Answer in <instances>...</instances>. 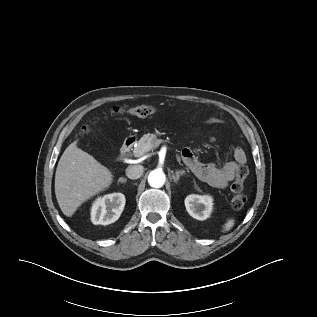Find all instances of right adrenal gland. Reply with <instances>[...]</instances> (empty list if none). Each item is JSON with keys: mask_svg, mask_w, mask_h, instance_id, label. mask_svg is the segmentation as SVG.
<instances>
[{"mask_svg": "<svg viewBox=\"0 0 317 317\" xmlns=\"http://www.w3.org/2000/svg\"><path fill=\"white\" fill-rule=\"evenodd\" d=\"M127 182V179L126 178H123V177H121V178H119V180H118V183H126Z\"/></svg>", "mask_w": 317, "mask_h": 317, "instance_id": "2a0ac1e0", "label": "right adrenal gland"}]
</instances>
